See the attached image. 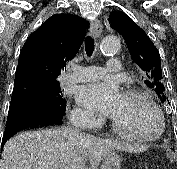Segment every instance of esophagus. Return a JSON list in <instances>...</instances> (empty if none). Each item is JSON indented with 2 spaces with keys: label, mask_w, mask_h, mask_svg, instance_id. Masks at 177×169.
<instances>
[{
  "label": "esophagus",
  "mask_w": 177,
  "mask_h": 169,
  "mask_svg": "<svg viewBox=\"0 0 177 169\" xmlns=\"http://www.w3.org/2000/svg\"><path fill=\"white\" fill-rule=\"evenodd\" d=\"M90 33L93 37L98 38L102 33V24L99 20H94L90 24Z\"/></svg>",
  "instance_id": "esophagus-1"
}]
</instances>
